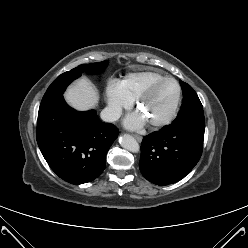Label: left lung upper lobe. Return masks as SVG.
Returning <instances> with one entry per match:
<instances>
[{
	"label": "left lung upper lobe",
	"instance_id": "obj_1",
	"mask_svg": "<svg viewBox=\"0 0 248 248\" xmlns=\"http://www.w3.org/2000/svg\"><path fill=\"white\" fill-rule=\"evenodd\" d=\"M180 84L183 92V102L177 118H188L203 113L202 104L194 89L183 81H180Z\"/></svg>",
	"mask_w": 248,
	"mask_h": 248
}]
</instances>
